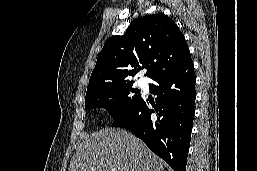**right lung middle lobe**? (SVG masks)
<instances>
[{"label":"right lung middle lobe","instance_id":"dd1d6c3e","mask_svg":"<svg viewBox=\"0 0 257 171\" xmlns=\"http://www.w3.org/2000/svg\"><path fill=\"white\" fill-rule=\"evenodd\" d=\"M140 98L139 92L133 89V82H127L88 91L85 98V108L103 107L115 120L127 113Z\"/></svg>","mask_w":257,"mask_h":171}]
</instances>
